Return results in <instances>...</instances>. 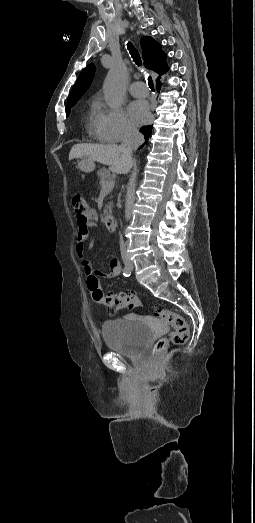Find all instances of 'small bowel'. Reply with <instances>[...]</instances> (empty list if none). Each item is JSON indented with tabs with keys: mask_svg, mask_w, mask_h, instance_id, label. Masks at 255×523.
Wrapping results in <instances>:
<instances>
[{
	"mask_svg": "<svg viewBox=\"0 0 255 523\" xmlns=\"http://www.w3.org/2000/svg\"><path fill=\"white\" fill-rule=\"evenodd\" d=\"M98 227V214L95 210H89L85 215V220L82 222L78 220V235H77V246H76V255L80 259L82 267L88 276L93 275V272L99 277L104 279H113L118 277L121 274L122 267L116 258H112L109 262L110 269L109 271H93L89 261L86 259L85 253L86 248H93L94 242L89 241L88 245L86 242L89 238V230L92 228Z\"/></svg>",
	"mask_w": 255,
	"mask_h": 523,
	"instance_id": "obj_1",
	"label": "small bowel"
}]
</instances>
